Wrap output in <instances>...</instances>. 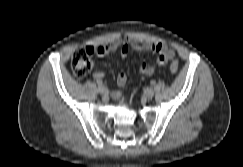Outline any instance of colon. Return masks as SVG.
<instances>
[{
    "mask_svg": "<svg viewBox=\"0 0 243 167\" xmlns=\"http://www.w3.org/2000/svg\"><path fill=\"white\" fill-rule=\"evenodd\" d=\"M92 54H94L93 48H79L76 49L71 57V66L74 74L77 77H84L90 73L93 67ZM179 64L177 61H172L170 64V71L176 73L178 71Z\"/></svg>",
    "mask_w": 243,
    "mask_h": 167,
    "instance_id": "colon-1",
    "label": "colon"
}]
</instances>
